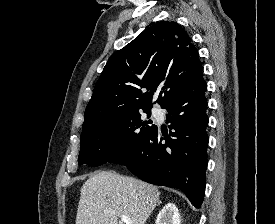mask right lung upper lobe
Instances as JSON below:
<instances>
[{
  "mask_svg": "<svg viewBox=\"0 0 275 224\" xmlns=\"http://www.w3.org/2000/svg\"><path fill=\"white\" fill-rule=\"evenodd\" d=\"M200 74L198 52L189 35L176 22L160 21L110 57L86 107L83 129L152 108L156 90H161L156 102L163 107Z\"/></svg>",
  "mask_w": 275,
  "mask_h": 224,
  "instance_id": "obj_1",
  "label": "right lung upper lobe"
}]
</instances>
